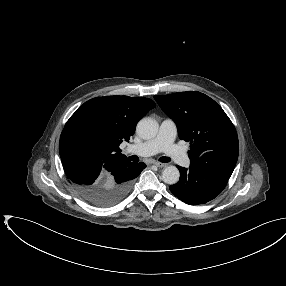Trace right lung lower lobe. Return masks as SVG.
Masks as SVG:
<instances>
[{"mask_svg": "<svg viewBox=\"0 0 286 286\" xmlns=\"http://www.w3.org/2000/svg\"><path fill=\"white\" fill-rule=\"evenodd\" d=\"M59 152L75 191L98 207H109L123 199L133 179L146 167L143 162L135 164L129 160L105 162L89 141L72 130L62 132Z\"/></svg>", "mask_w": 286, "mask_h": 286, "instance_id": "98d812e1", "label": "right lung lower lobe"}]
</instances>
